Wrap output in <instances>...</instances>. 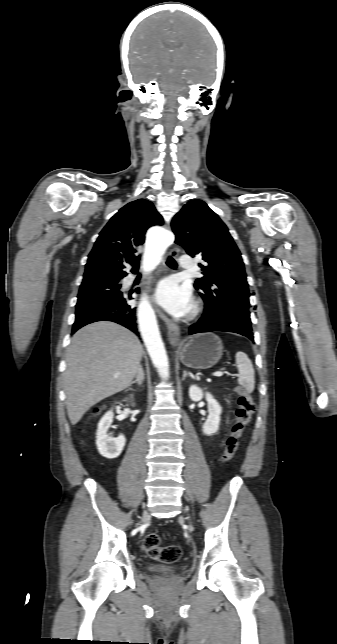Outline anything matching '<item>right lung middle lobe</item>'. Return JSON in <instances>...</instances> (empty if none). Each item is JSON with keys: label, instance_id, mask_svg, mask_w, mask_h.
Masks as SVG:
<instances>
[{"label": "right lung middle lobe", "instance_id": "dd1d6c3e", "mask_svg": "<svg viewBox=\"0 0 337 644\" xmlns=\"http://www.w3.org/2000/svg\"><path fill=\"white\" fill-rule=\"evenodd\" d=\"M119 278H97L80 285L77 307L102 302L123 294Z\"/></svg>", "mask_w": 337, "mask_h": 644}]
</instances>
